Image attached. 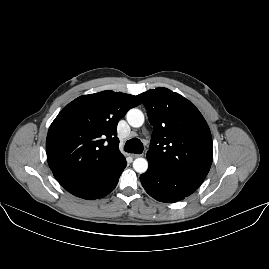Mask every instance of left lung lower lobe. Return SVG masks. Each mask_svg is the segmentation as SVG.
<instances>
[{
    "instance_id": "left-lung-lower-lobe-1",
    "label": "left lung lower lobe",
    "mask_w": 269,
    "mask_h": 269,
    "mask_svg": "<svg viewBox=\"0 0 269 269\" xmlns=\"http://www.w3.org/2000/svg\"><path fill=\"white\" fill-rule=\"evenodd\" d=\"M140 181L146 192L154 199L173 203L192 194L202 184L204 178L149 164L148 170L140 175Z\"/></svg>"
}]
</instances>
